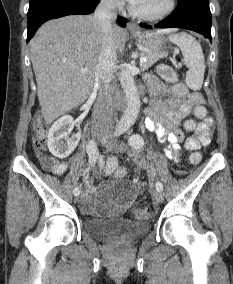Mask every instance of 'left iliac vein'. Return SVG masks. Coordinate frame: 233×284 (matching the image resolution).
Wrapping results in <instances>:
<instances>
[{
  "label": "left iliac vein",
  "instance_id": "4c4485c4",
  "mask_svg": "<svg viewBox=\"0 0 233 284\" xmlns=\"http://www.w3.org/2000/svg\"><path fill=\"white\" fill-rule=\"evenodd\" d=\"M103 145L107 149L116 151V152H123V151H126L127 149V146L124 143L118 142L112 138H106V140L103 142ZM153 197L155 201L158 203H162L164 201V194L162 193V191L155 190L153 192Z\"/></svg>",
  "mask_w": 233,
  "mask_h": 284
}]
</instances>
